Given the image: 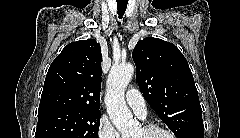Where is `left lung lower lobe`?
Segmentation results:
<instances>
[{
	"label": "left lung lower lobe",
	"instance_id": "obj_1",
	"mask_svg": "<svg viewBox=\"0 0 240 138\" xmlns=\"http://www.w3.org/2000/svg\"><path fill=\"white\" fill-rule=\"evenodd\" d=\"M204 129H196L186 135L185 138H203Z\"/></svg>",
	"mask_w": 240,
	"mask_h": 138
}]
</instances>
